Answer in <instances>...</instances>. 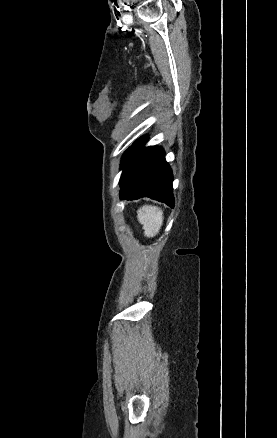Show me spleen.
<instances>
[{"label":"spleen","mask_w":277,"mask_h":438,"mask_svg":"<svg viewBox=\"0 0 277 438\" xmlns=\"http://www.w3.org/2000/svg\"><path fill=\"white\" fill-rule=\"evenodd\" d=\"M137 220L142 224L144 236L154 238L162 226L163 212L157 206H142L137 210Z\"/></svg>","instance_id":"spleen-1"}]
</instances>
